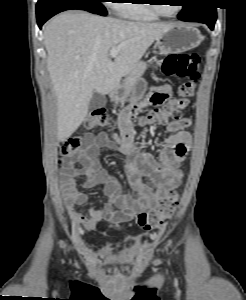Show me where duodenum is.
<instances>
[{"instance_id": "410a0bca", "label": "duodenum", "mask_w": 246, "mask_h": 300, "mask_svg": "<svg viewBox=\"0 0 246 300\" xmlns=\"http://www.w3.org/2000/svg\"><path fill=\"white\" fill-rule=\"evenodd\" d=\"M107 96H108V98H109V99H111V100H112V99H113V97H114V92H113V91H110V92L108 93V95H107Z\"/></svg>"}]
</instances>
